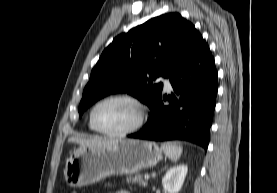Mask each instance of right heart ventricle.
I'll return each instance as SVG.
<instances>
[{"label":"right heart ventricle","mask_w":277,"mask_h":193,"mask_svg":"<svg viewBox=\"0 0 277 193\" xmlns=\"http://www.w3.org/2000/svg\"><path fill=\"white\" fill-rule=\"evenodd\" d=\"M88 126H89V129H90L91 131H95L94 128L92 127V125L90 124V121H89V125H88Z\"/></svg>","instance_id":"e07e8e85"}]
</instances>
